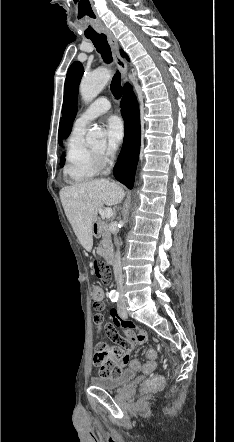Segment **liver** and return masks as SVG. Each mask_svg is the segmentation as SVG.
I'll return each instance as SVG.
<instances>
[{"mask_svg":"<svg viewBox=\"0 0 234 442\" xmlns=\"http://www.w3.org/2000/svg\"><path fill=\"white\" fill-rule=\"evenodd\" d=\"M125 196L123 188L106 179L76 183L60 190V199L66 217L80 244L90 252L93 247V223L98 209L104 204L113 206Z\"/></svg>","mask_w":234,"mask_h":442,"instance_id":"1","label":"liver"}]
</instances>
